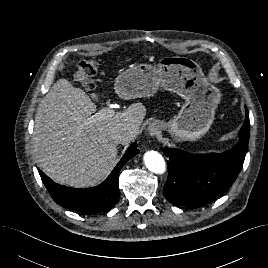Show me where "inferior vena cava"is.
<instances>
[{"instance_id":"inferior-vena-cava-1","label":"inferior vena cava","mask_w":268,"mask_h":268,"mask_svg":"<svg viewBox=\"0 0 268 268\" xmlns=\"http://www.w3.org/2000/svg\"><path fill=\"white\" fill-rule=\"evenodd\" d=\"M137 135L135 130L129 131V132H121V131H112L109 133V138L117 143V142H121L125 139H129L132 140L133 138H135Z\"/></svg>"}]
</instances>
